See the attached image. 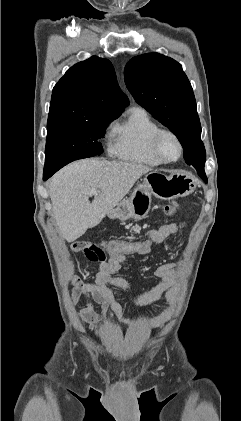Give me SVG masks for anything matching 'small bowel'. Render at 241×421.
Here are the masks:
<instances>
[{"label":"small bowel","mask_w":241,"mask_h":421,"mask_svg":"<svg viewBox=\"0 0 241 421\" xmlns=\"http://www.w3.org/2000/svg\"><path fill=\"white\" fill-rule=\"evenodd\" d=\"M184 226L185 223H170L163 225L159 229L148 231L144 235L143 240L154 244L162 243L169 236L176 234L179 229ZM125 262V255H113L110 256L107 262L100 264L94 283H86L78 278H72L70 280V283L73 286V292L70 299L72 305L76 304L82 296H86L91 297L95 303L102 307V312L96 314L92 311L91 306L88 305L79 314V317L83 322L90 324L89 328L95 336L99 335V324L106 317L115 316L122 325L130 326L133 324L132 320L124 315L122 305L115 300L113 291L110 289L111 286L120 290L134 302H153L159 299L163 294L171 306L176 302L178 285L176 283L173 264L167 263L159 266L155 271V275L159 277L161 281L148 292L136 294L132 291L125 279L114 276V274L122 268V265ZM171 313L172 308L163 310L161 313L151 318L148 325L151 327L163 325L170 319Z\"/></svg>","instance_id":"c3829d8e"}]
</instances>
